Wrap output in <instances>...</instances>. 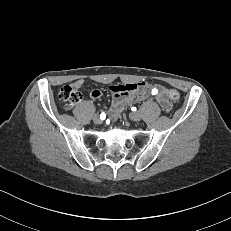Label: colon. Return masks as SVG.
Wrapping results in <instances>:
<instances>
[{"label": "colon", "mask_w": 231, "mask_h": 231, "mask_svg": "<svg viewBox=\"0 0 231 231\" xmlns=\"http://www.w3.org/2000/svg\"><path fill=\"white\" fill-rule=\"evenodd\" d=\"M168 97L172 102L175 103L179 102L180 100V94L175 89L168 91ZM59 98L62 102H64L67 108H71L81 101L82 94L77 88L67 85L61 88L59 92Z\"/></svg>", "instance_id": "obj_1"}]
</instances>
